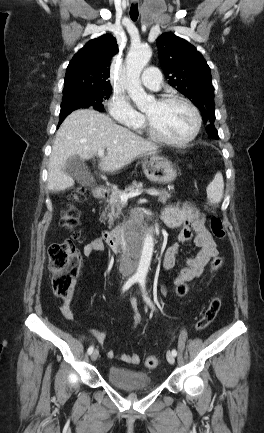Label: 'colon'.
Returning <instances> with one entry per match:
<instances>
[{
    "label": "colon",
    "instance_id": "obj_1",
    "mask_svg": "<svg viewBox=\"0 0 264 433\" xmlns=\"http://www.w3.org/2000/svg\"><path fill=\"white\" fill-rule=\"evenodd\" d=\"M87 197V191L83 187H78L73 191V198L77 201H82ZM207 210L214 213L213 207L207 205ZM78 211L73 205H67L62 218L61 226L72 232V239L62 242L53 243L49 247V266L52 272V287L54 294L60 298H66L70 294V287L79 274L81 258L75 247L74 240L79 239L80 234L76 231L78 223ZM209 227L217 239H222L225 236V230L220 217L215 214L209 219ZM223 259L215 255L210 262V270L217 271L221 268ZM189 292L187 283H179L175 285L173 294L176 298H182ZM221 307V299L214 297L203 315L196 323V330L202 331L209 324H211ZM145 366L151 369L156 368L160 361L155 356H148L145 358Z\"/></svg>",
    "mask_w": 264,
    "mask_h": 433
}]
</instances>
